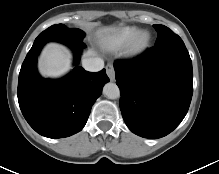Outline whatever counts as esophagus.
I'll return each mask as SVG.
<instances>
[{"label":"esophagus","mask_w":219,"mask_h":174,"mask_svg":"<svg viewBox=\"0 0 219 174\" xmlns=\"http://www.w3.org/2000/svg\"><path fill=\"white\" fill-rule=\"evenodd\" d=\"M106 72H107V75H108L109 79H110L111 81H114V80H115V71H114L113 65L108 64V65L106 66Z\"/></svg>","instance_id":"34e87169"}]
</instances>
